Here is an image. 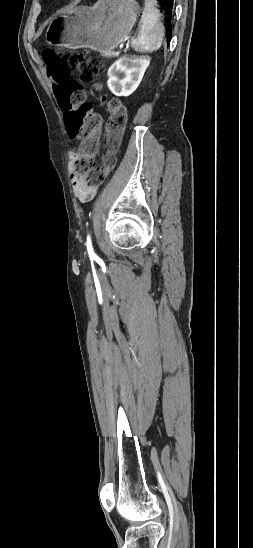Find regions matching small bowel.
Returning <instances> with one entry per match:
<instances>
[{
    "label": "small bowel",
    "mask_w": 253,
    "mask_h": 548,
    "mask_svg": "<svg viewBox=\"0 0 253 548\" xmlns=\"http://www.w3.org/2000/svg\"><path fill=\"white\" fill-rule=\"evenodd\" d=\"M77 156V151L71 150L69 152V170L71 175V183L74 195L82 203L91 201L97 194L98 185L89 184L86 178L82 175L76 174L73 169V162Z\"/></svg>",
    "instance_id": "obj_1"
}]
</instances>
